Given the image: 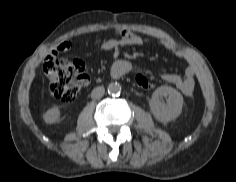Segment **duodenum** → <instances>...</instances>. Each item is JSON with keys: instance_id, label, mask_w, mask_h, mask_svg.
<instances>
[{"instance_id": "410a0bca", "label": "duodenum", "mask_w": 236, "mask_h": 182, "mask_svg": "<svg viewBox=\"0 0 236 182\" xmlns=\"http://www.w3.org/2000/svg\"><path fill=\"white\" fill-rule=\"evenodd\" d=\"M130 72V67L126 61H118L112 68V75L121 78Z\"/></svg>"}]
</instances>
